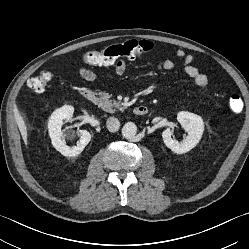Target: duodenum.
<instances>
[{
	"instance_id": "410a0bca",
	"label": "duodenum",
	"mask_w": 249,
	"mask_h": 249,
	"mask_svg": "<svg viewBox=\"0 0 249 249\" xmlns=\"http://www.w3.org/2000/svg\"><path fill=\"white\" fill-rule=\"evenodd\" d=\"M80 94L85 100L89 102H95L98 99L97 93L93 89L87 87L81 88ZM147 112H148V107L144 104L138 105L134 108V113L137 116H144L147 114Z\"/></svg>"
}]
</instances>
